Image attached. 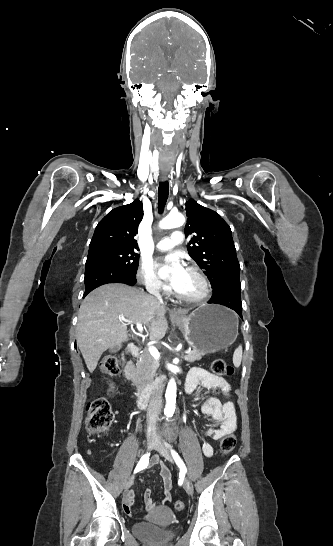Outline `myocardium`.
I'll return each instance as SVG.
<instances>
[{"label": "myocardium", "instance_id": "myocardium-1", "mask_svg": "<svg viewBox=\"0 0 333 546\" xmlns=\"http://www.w3.org/2000/svg\"><path fill=\"white\" fill-rule=\"evenodd\" d=\"M188 271L194 273L199 278V280L201 281L203 285V291L200 295L192 296V297L182 295L176 291L175 292L176 297L182 301L189 302V303H200L205 301L212 292L210 281L208 280L204 272L197 266H194V265L189 266Z\"/></svg>", "mask_w": 333, "mask_h": 546}]
</instances>
